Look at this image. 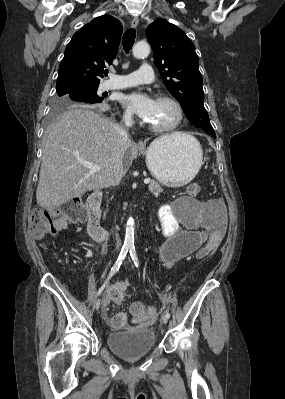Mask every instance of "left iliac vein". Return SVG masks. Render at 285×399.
Here are the masks:
<instances>
[{
  "instance_id": "1",
  "label": "left iliac vein",
  "mask_w": 285,
  "mask_h": 399,
  "mask_svg": "<svg viewBox=\"0 0 285 399\" xmlns=\"http://www.w3.org/2000/svg\"><path fill=\"white\" fill-rule=\"evenodd\" d=\"M161 323H163V324H167L168 323V318L166 317V315H162Z\"/></svg>"
}]
</instances>
